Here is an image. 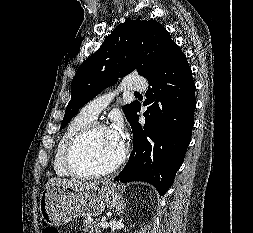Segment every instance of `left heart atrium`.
Here are the masks:
<instances>
[{
  "label": "left heart atrium",
  "mask_w": 253,
  "mask_h": 233,
  "mask_svg": "<svg viewBox=\"0 0 253 233\" xmlns=\"http://www.w3.org/2000/svg\"><path fill=\"white\" fill-rule=\"evenodd\" d=\"M108 129L117 140L123 142L124 126L121 121H116L115 124Z\"/></svg>",
  "instance_id": "obj_1"
}]
</instances>
